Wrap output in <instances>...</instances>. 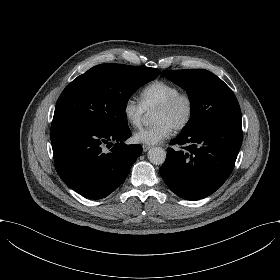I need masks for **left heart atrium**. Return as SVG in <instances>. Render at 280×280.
<instances>
[{
    "label": "left heart atrium",
    "mask_w": 280,
    "mask_h": 280,
    "mask_svg": "<svg viewBox=\"0 0 280 280\" xmlns=\"http://www.w3.org/2000/svg\"><path fill=\"white\" fill-rule=\"evenodd\" d=\"M174 126L167 121H159L148 128H141L132 134L136 144L156 145L172 135Z\"/></svg>",
    "instance_id": "1"
}]
</instances>
